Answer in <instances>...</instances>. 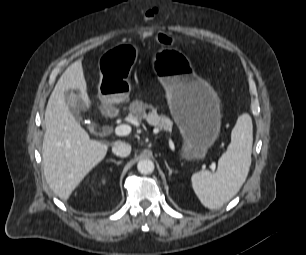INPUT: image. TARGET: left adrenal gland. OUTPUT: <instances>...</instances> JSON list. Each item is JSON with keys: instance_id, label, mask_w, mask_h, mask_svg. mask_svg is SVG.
Here are the masks:
<instances>
[{"instance_id": "obj_1", "label": "left adrenal gland", "mask_w": 306, "mask_h": 255, "mask_svg": "<svg viewBox=\"0 0 306 255\" xmlns=\"http://www.w3.org/2000/svg\"><path fill=\"white\" fill-rule=\"evenodd\" d=\"M165 165H166V168L168 169L169 175L171 176L172 175V169L169 167L166 160H165Z\"/></svg>"}]
</instances>
